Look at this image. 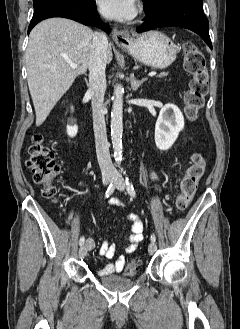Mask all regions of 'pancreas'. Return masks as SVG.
I'll list each match as a JSON object with an SVG mask.
<instances>
[{
  "label": "pancreas",
  "mask_w": 240,
  "mask_h": 329,
  "mask_svg": "<svg viewBox=\"0 0 240 329\" xmlns=\"http://www.w3.org/2000/svg\"><path fill=\"white\" fill-rule=\"evenodd\" d=\"M166 75H167L166 73H162V74L159 75V77H164Z\"/></svg>",
  "instance_id": "cf45deb5"
}]
</instances>
